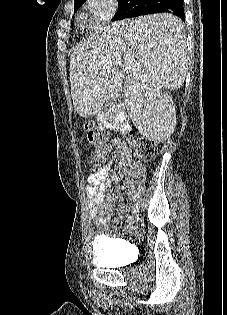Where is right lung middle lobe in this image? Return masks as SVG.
<instances>
[{
    "label": "right lung middle lobe",
    "instance_id": "right-lung-middle-lobe-1",
    "mask_svg": "<svg viewBox=\"0 0 227 315\" xmlns=\"http://www.w3.org/2000/svg\"><path fill=\"white\" fill-rule=\"evenodd\" d=\"M86 0H77L75 1V7H74V11H77L79 9V7L85 2ZM140 1L142 0H118V10L121 9L123 6H126L128 4L130 5H135L140 3ZM118 12V11H117ZM117 15L118 13H116L115 17H113L112 20H116L117 19Z\"/></svg>",
    "mask_w": 227,
    "mask_h": 315
}]
</instances>
